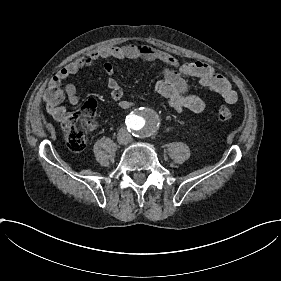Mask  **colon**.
<instances>
[{"mask_svg": "<svg viewBox=\"0 0 281 281\" xmlns=\"http://www.w3.org/2000/svg\"><path fill=\"white\" fill-rule=\"evenodd\" d=\"M216 116L221 122H229L233 117V113L227 105L220 104L216 109ZM64 129L67 133L70 148L76 152L83 150L85 146V130L78 119L75 116H69L64 122Z\"/></svg>", "mask_w": 281, "mask_h": 281, "instance_id": "1", "label": "colon"}]
</instances>
